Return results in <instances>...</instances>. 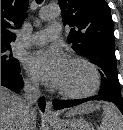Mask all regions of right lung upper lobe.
<instances>
[{
	"mask_svg": "<svg viewBox=\"0 0 123 130\" xmlns=\"http://www.w3.org/2000/svg\"><path fill=\"white\" fill-rule=\"evenodd\" d=\"M27 8L28 0H1V45L16 39L13 31L21 27Z\"/></svg>",
	"mask_w": 123,
	"mask_h": 130,
	"instance_id": "1",
	"label": "right lung upper lobe"
}]
</instances>
